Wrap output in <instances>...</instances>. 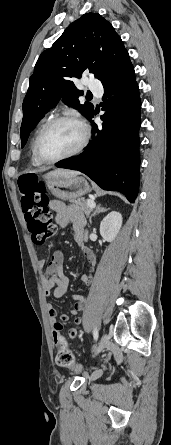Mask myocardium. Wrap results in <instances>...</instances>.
Here are the masks:
<instances>
[{"label": "myocardium", "mask_w": 171, "mask_h": 445, "mask_svg": "<svg viewBox=\"0 0 171 445\" xmlns=\"http://www.w3.org/2000/svg\"><path fill=\"white\" fill-rule=\"evenodd\" d=\"M61 121L73 122L80 128V130H81L80 143L74 150H72L71 152H69L63 156H60L55 159H46L40 152L41 138H42L44 132L46 131V129L50 125L57 123V122H61ZM88 140H89V130H88L86 123L81 118H79L78 116L72 115V114L56 115V116L49 118L39 129V131L35 137V140H34V155H35L36 159L38 160V162H40L41 164L52 165V164L58 163L60 161L72 158V157L80 154L83 151V149L86 147Z\"/></svg>", "instance_id": "myocardium-1"}]
</instances>
